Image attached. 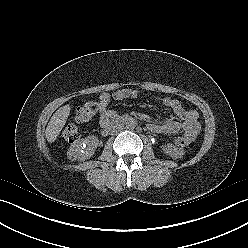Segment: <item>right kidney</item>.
I'll list each match as a JSON object with an SVG mask.
<instances>
[{
	"label": "right kidney",
	"mask_w": 248,
	"mask_h": 248,
	"mask_svg": "<svg viewBox=\"0 0 248 248\" xmlns=\"http://www.w3.org/2000/svg\"><path fill=\"white\" fill-rule=\"evenodd\" d=\"M98 143L99 140L94 135L77 140L68 149L67 156L72 161L89 159L95 153Z\"/></svg>",
	"instance_id": "right-kidney-1"
}]
</instances>
